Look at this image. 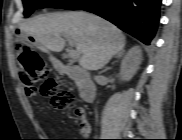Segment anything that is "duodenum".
<instances>
[{"label":"duodenum","mask_w":182,"mask_h":140,"mask_svg":"<svg viewBox=\"0 0 182 140\" xmlns=\"http://www.w3.org/2000/svg\"><path fill=\"white\" fill-rule=\"evenodd\" d=\"M59 72H66L69 76L81 85L80 98L83 102H92L95 98V85L91 78L82 70L66 64L63 60L56 63Z\"/></svg>","instance_id":"1"}]
</instances>
